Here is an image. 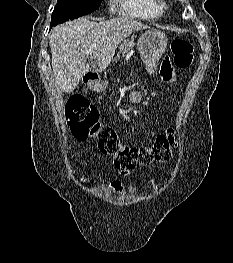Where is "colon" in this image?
<instances>
[{
    "label": "colon",
    "instance_id": "obj_1",
    "mask_svg": "<svg viewBox=\"0 0 233 263\" xmlns=\"http://www.w3.org/2000/svg\"><path fill=\"white\" fill-rule=\"evenodd\" d=\"M171 49L177 67L186 69L192 64L194 47L188 40H173ZM65 116L75 138L95 141L102 153L114 158V165L118 169L130 170L154 161H165L176 145L172 129L159 135L151 146L137 147L121 143L114 128L100 123L97 108L83 97H74L69 101Z\"/></svg>",
    "mask_w": 233,
    "mask_h": 263
}]
</instances>
